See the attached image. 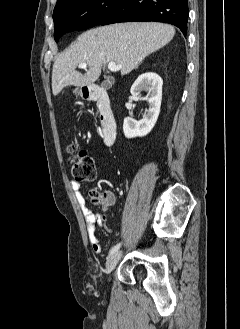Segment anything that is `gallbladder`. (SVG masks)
Masks as SVG:
<instances>
[{"mask_svg": "<svg viewBox=\"0 0 240 329\" xmlns=\"http://www.w3.org/2000/svg\"><path fill=\"white\" fill-rule=\"evenodd\" d=\"M101 87L105 88V89H108L110 87V84L108 83V81H103L101 83Z\"/></svg>", "mask_w": 240, "mask_h": 329, "instance_id": "1", "label": "gallbladder"}]
</instances>
